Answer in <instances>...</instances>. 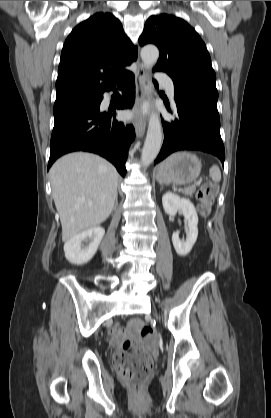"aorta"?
Returning <instances> with one entry per match:
<instances>
[{
	"label": "aorta",
	"instance_id": "obj_1",
	"mask_svg": "<svg viewBox=\"0 0 271 418\" xmlns=\"http://www.w3.org/2000/svg\"><path fill=\"white\" fill-rule=\"evenodd\" d=\"M159 58V50L154 45L144 46L141 50V59L146 69H151ZM150 92L152 90L150 89ZM162 146V126L158 115L152 112L149 117V124L146 139L144 142L141 162L149 166L157 157Z\"/></svg>",
	"mask_w": 271,
	"mask_h": 418
}]
</instances>
